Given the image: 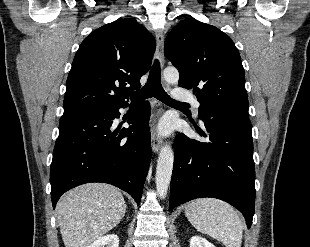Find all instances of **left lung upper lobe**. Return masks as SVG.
Listing matches in <instances>:
<instances>
[{
	"mask_svg": "<svg viewBox=\"0 0 310 247\" xmlns=\"http://www.w3.org/2000/svg\"><path fill=\"white\" fill-rule=\"evenodd\" d=\"M164 54L179 71V86L196 93L202 121L222 114L248 118L244 68L228 35L184 19L167 35Z\"/></svg>",
	"mask_w": 310,
	"mask_h": 247,
	"instance_id": "obj_1",
	"label": "left lung upper lobe"
}]
</instances>
